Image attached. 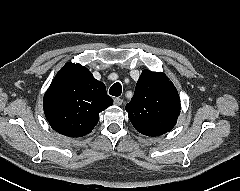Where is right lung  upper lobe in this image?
Masks as SVG:
<instances>
[{"label": "right lung upper lobe", "instance_id": "cb5924a9", "mask_svg": "<svg viewBox=\"0 0 240 191\" xmlns=\"http://www.w3.org/2000/svg\"><path fill=\"white\" fill-rule=\"evenodd\" d=\"M113 104L105 85L71 62L57 73L44 95L43 108L51 127L68 137H82L97 125L99 113Z\"/></svg>", "mask_w": 240, "mask_h": 191}]
</instances>
